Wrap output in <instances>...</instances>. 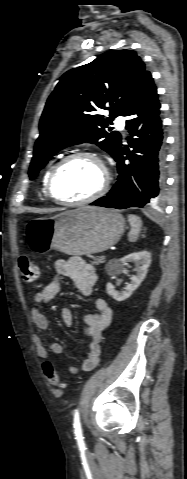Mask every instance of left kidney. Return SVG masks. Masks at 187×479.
<instances>
[{
	"label": "left kidney",
	"mask_w": 187,
	"mask_h": 479,
	"mask_svg": "<svg viewBox=\"0 0 187 479\" xmlns=\"http://www.w3.org/2000/svg\"><path fill=\"white\" fill-rule=\"evenodd\" d=\"M129 262H135L138 266V269L137 274L130 278L131 282L126 285L125 289L121 292H118L111 283H107L106 285V291L108 295L119 302L129 298L140 286L150 266L151 254L148 251H142L128 254L120 259H111L106 264V272L110 276H117L124 270V266L128 265Z\"/></svg>",
	"instance_id": "5707ae66"
}]
</instances>
